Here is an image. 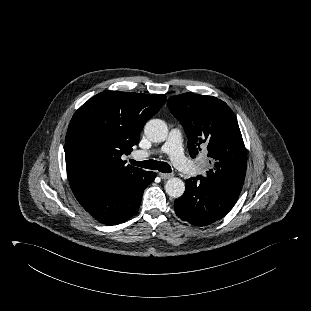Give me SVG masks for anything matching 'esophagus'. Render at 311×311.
Here are the masks:
<instances>
[{
	"label": "esophagus",
	"instance_id": "1",
	"mask_svg": "<svg viewBox=\"0 0 311 311\" xmlns=\"http://www.w3.org/2000/svg\"><path fill=\"white\" fill-rule=\"evenodd\" d=\"M158 174H159V176H160L162 179H169V178L173 177V175H172V174H169V173H162V172H159Z\"/></svg>",
	"mask_w": 311,
	"mask_h": 311
}]
</instances>
